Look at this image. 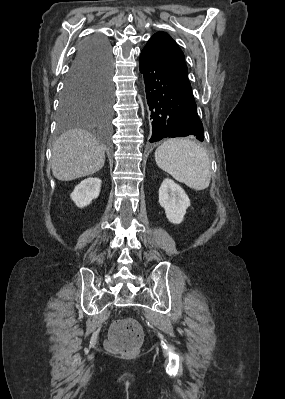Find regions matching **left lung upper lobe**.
Segmentation results:
<instances>
[{"mask_svg": "<svg viewBox=\"0 0 285 399\" xmlns=\"http://www.w3.org/2000/svg\"><path fill=\"white\" fill-rule=\"evenodd\" d=\"M143 49L157 57L176 77L190 85L185 56L169 34L155 33Z\"/></svg>", "mask_w": 285, "mask_h": 399, "instance_id": "1", "label": "left lung upper lobe"}]
</instances>
